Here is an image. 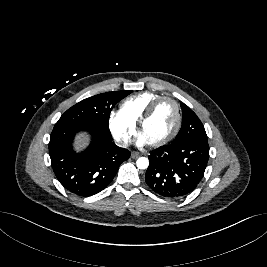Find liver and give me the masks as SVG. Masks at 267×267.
<instances>
[{"mask_svg":"<svg viewBox=\"0 0 267 267\" xmlns=\"http://www.w3.org/2000/svg\"><path fill=\"white\" fill-rule=\"evenodd\" d=\"M87 144H88V139L85 135H79L76 137L74 143L76 150L84 148L85 146H87Z\"/></svg>","mask_w":267,"mask_h":267,"instance_id":"obj_1","label":"liver"}]
</instances>
